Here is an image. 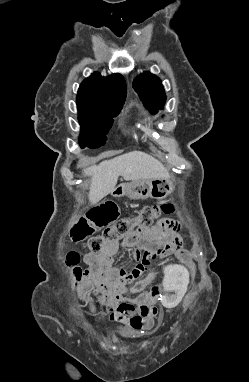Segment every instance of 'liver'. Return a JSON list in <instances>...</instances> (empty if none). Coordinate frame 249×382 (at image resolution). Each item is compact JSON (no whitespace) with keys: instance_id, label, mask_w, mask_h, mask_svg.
<instances>
[{"instance_id":"6515ba94","label":"liver","mask_w":249,"mask_h":382,"mask_svg":"<svg viewBox=\"0 0 249 382\" xmlns=\"http://www.w3.org/2000/svg\"><path fill=\"white\" fill-rule=\"evenodd\" d=\"M91 178L89 200L91 203L101 199L116 189L119 176L126 181L143 179H168L170 174L164 165L141 151H132L113 159L101 162L83 170Z\"/></svg>"}]
</instances>
